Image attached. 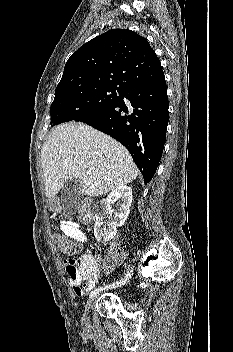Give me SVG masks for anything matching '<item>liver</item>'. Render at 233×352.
I'll return each mask as SVG.
<instances>
[{"instance_id":"liver-1","label":"liver","mask_w":233,"mask_h":352,"mask_svg":"<svg viewBox=\"0 0 233 352\" xmlns=\"http://www.w3.org/2000/svg\"><path fill=\"white\" fill-rule=\"evenodd\" d=\"M46 196L54 198L65 182L79 179L81 193L97 197L131 183L138 169L118 141L84 123L57 126L41 149ZM91 170L88 175L86 170Z\"/></svg>"}]
</instances>
